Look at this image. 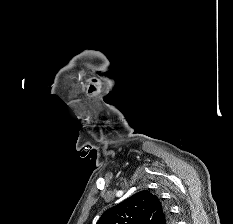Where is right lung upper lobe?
I'll use <instances>...</instances> for the list:
<instances>
[{"label": "right lung upper lobe", "instance_id": "obj_1", "mask_svg": "<svg viewBox=\"0 0 233 224\" xmlns=\"http://www.w3.org/2000/svg\"><path fill=\"white\" fill-rule=\"evenodd\" d=\"M173 220L156 195L140 191L105 211L97 224H172Z\"/></svg>", "mask_w": 233, "mask_h": 224}]
</instances>
